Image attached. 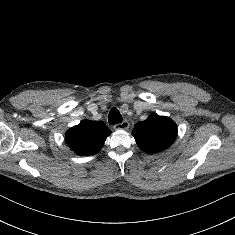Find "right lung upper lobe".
Segmentation results:
<instances>
[{
	"label": "right lung upper lobe",
	"mask_w": 235,
	"mask_h": 235,
	"mask_svg": "<svg viewBox=\"0 0 235 235\" xmlns=\"http://www.w3.org/2000/svg\"><path fill=\"white\" fill-rule=\"evenodd\" d=\"M110 134L103 122L83 120L66 132L65 139L71 150L85 156L98 153Z\"/></svg>",
	"instance_id": "cb5924a9"
}]
</instances>
